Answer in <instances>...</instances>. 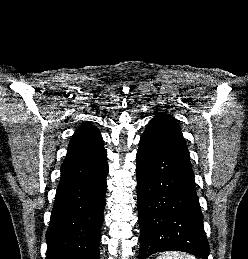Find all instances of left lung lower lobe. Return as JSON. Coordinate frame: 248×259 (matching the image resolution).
<instances>
[{"instance_id":"0a47b994","label":"left lung lower lobe","mask_w":248,"mask_h":259,"mask_svg":"<svg viewBox=\"0 0 248 259\" xmlns=\"http://www.w3.org/2000/svg\"><path fill=\"white\" fill-rule=\"evenodd\" d=\"M139 144V259L160 251H183L208 259L209 245L191 166L162 148L143 140Z\"/></svg>"}]
</instances>
